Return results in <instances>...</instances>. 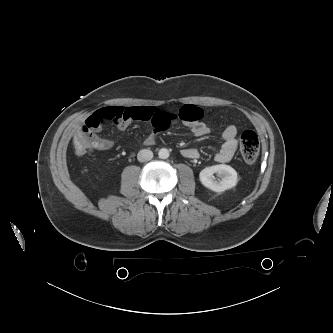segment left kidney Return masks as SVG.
Segmentation results:
<instances>
[{
	"instance_id": "1",
	"label": "left kidney",
	"mask_w": 333,
	"mask_h": 333,
	"mask_svg": "<svg viewBox=\"0 0 333 333\" xmlns=\"http://www.w3.org/2000/svg\"><path fill=\"white\" fill-rule=\"evenodd\" d=\"M215 173L221 177L219 182L214 178ZM199 177L206 188L215 192L231 189L238 182L237 172L231 166L225 164L206 167L200 172Z\"/></svg>"
}]
</instances>
